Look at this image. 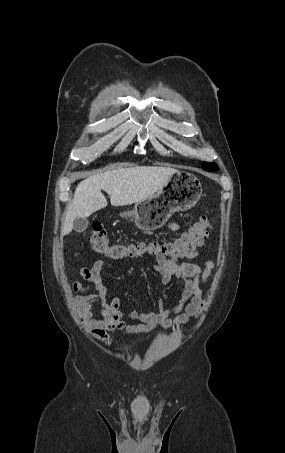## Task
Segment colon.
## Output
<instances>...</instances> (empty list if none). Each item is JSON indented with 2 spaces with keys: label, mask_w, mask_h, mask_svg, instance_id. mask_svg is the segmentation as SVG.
I'll use <instances>...</instances> for the list:
<instances>
[{
  "label": "colon",
  "mask_w": 285,
  "mask_h": 453,
  "mask_svg": "<svg viewBox=\"0 0 285 453\" xmlns=\"http://www.w3.org/2000/svg\"><path fill=\"white\" fill-rule=\"evenodd\" d=\"M210 228L211 219L206 214L202 215L188 230L167 242L136 241L121 244L111 243L105 228L101 224L95 223L89 234V244L96 254L105 255L114 260L142 255L170 259L188 255L203 246Z\"/></svg>",
  "instance_id": "obj_1"
}]
</instances>
